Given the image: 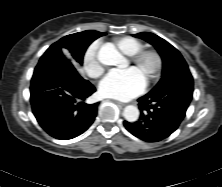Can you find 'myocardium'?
<instances>
[{
    "label": "myocardium",
    "mask_w": 222,
    "mask_h": 187,
    "mask_svg": "<svg viewBox=\"0 0 222 187\" xmlns=\"http://www.w3.org/2000/svg\"><path fill=\"white\" fill-rule=\"evenodd\" d=\"M147 57H152L155 61V68L152 74L147 78L146 83L149 85L156 82L163 71V57L155 49H141L134 55L130 56V62L133 65L141 64Z\"/></svg>",
    "instance_id": "myocardium-1"
}]
</instances>
